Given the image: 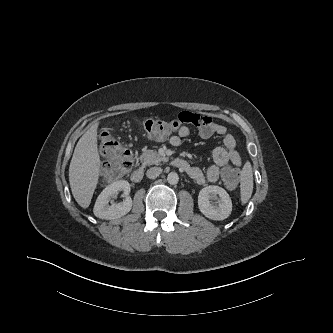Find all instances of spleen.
Returning a JSON list of instances; mask_svg holds the SVG:
<instances>
[{"instance_id":"1","label":"spleen","mask_w":333,"mask_h":333,"mask_svg":"<svg viewBox=\"0 0 333 333\" xmlns=\"http://www.w3.org/2000/svg\"><path fill=\"white\" fill-rule=\"evenodd\" d=\"M241 202L246 204L250 199L253 191V173L249 163H246L241 175Z\"/></svg>"}]
</instances>
